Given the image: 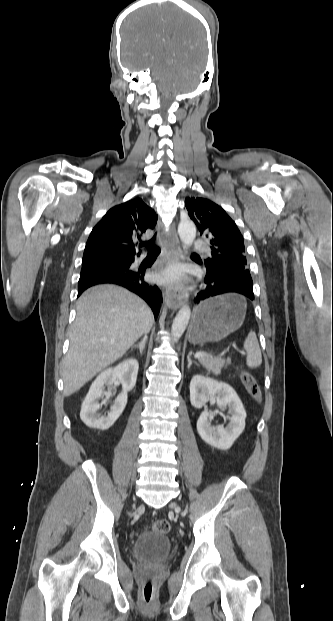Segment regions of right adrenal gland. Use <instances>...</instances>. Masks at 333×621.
<instances>
[{
  "mask_svg": "<svg viewBox=\"0 0 333 621\" xmlns=\"http://www.w3.org/2000/svg\"><path fill=\"white\" fill-rule=\"evenodd\" d=\"M146 342H147V336L145 335V336L142 338V340L140 341V343H139V344H134L133 346H131V349H132V350H133L134 348L139 349L140 354L142 355V354H143V351H144V349H145V346H146Z\"/></svg>",
  "mask_w": 333,
  "mask_h": 621,
  "instance_id": "right-adrenal-gland-1",
  "label": "right adrenal gland"
}]
</instances>
